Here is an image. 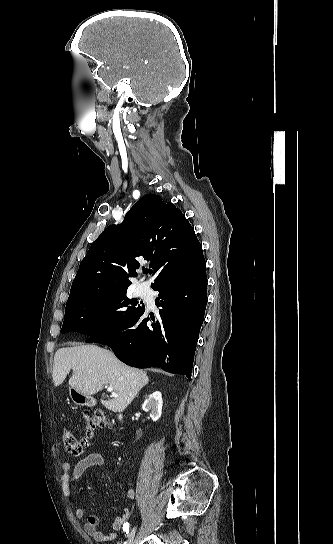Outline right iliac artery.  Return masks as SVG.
Here are the masks:
<instances>
[{
	"label": "right iliac artery",
	"mask_w": 333,
	"mask_h": 544,
	"mask_svg": "<svg viewBox=\"0 0 333 544\" xmlns=\"http://www.w3.org/2000/svg\"><path fill=\"white\" fill-rule=\"evenodd\" d=\"M129 527H130V524L128 522H126L124 525H123V530L124 532L128 533L129 532Z\"/></svg>",
	"instance_id": "obj_1"
}]
</instances>
